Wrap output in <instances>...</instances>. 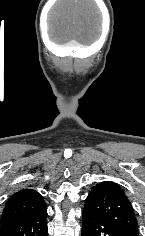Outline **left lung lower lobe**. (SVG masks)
Segmentation results:
<instances>
[{"label": "left lung lower lobe", "instance_id": "1", "mask_svg": "<svg viewBox=\"0 0 145 236\" xmlns=\"http://www.w3.org/2000/svg\"><path fill=\"white\" fill-rule=\"evenodd\" d=\"M82 236H125L111 223L84 209Z\"/></svg>", "mask_w": 145, "mask_h": 236}]
</instances>
